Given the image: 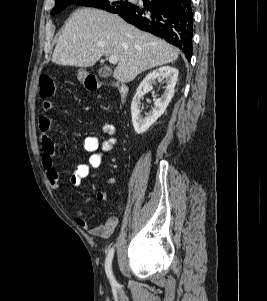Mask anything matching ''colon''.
Listing matches in <instances>:
<instances>
[{"label": "colon", "mask_w": 267, "mask_h": 301, "mask_svg": "<svg viewBox=\"0 0 267 301\" xmlns=\"http://www.w3.org/2000/svg\"><path fill=\"white\" fill-rule=\"evenodd\" d=\"M56 92L54 80L49 76H42L39 80V94L43 99L52 97Z\"/></svg>", "instance_id": "5ec220e1"}]
</instances>
